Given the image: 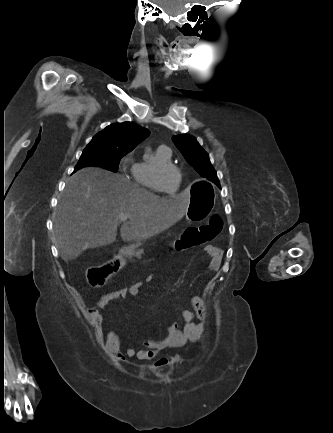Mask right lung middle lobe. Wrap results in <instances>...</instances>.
I'll use <instances>...</instances> for the list:
<instances>
[{
  "label": "right lung middle lobe",
  "instance_id": "right-lung-middle-lobe-1",
  "mask_svg": "<svg viewBox=\"0 0 333 433\" xmlns=\"http://www.w3.org/2000/svg\"><path fill=\"white\" fill-rule=\"evenodd\" d=\"M127 153L114 148L87 146L75 167V171L85 166H99L116 172L120 159Z\"/></svg>",
  "mask_w": 333,
  "mask_h": 433
}]
</instances>
